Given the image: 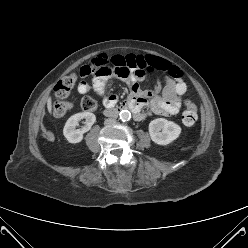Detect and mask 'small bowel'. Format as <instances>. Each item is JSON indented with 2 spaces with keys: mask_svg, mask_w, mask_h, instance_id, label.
<instances>
[{
  "mask_svg": "<svg viewBox=\"0 0 248 248\" xmlns=\"http://www.w3.org/2000/svg\"><path fill=\"white\" fill-rule=\"evenodd\" d=\"M114 56L119 57L124 64L130 63L129 69L131 71L123 78H126L130 86L128 100L134 104L137 120L145 118L146 114L142 112L144 108L147 109L148 114L161 116L175 115L179 112L182 97L187 89L179 69L164 59L148 54L130 53ZM85 71V67H82V76H86ZM148 74H167V76L160 78L154 90L144 91L140 88V83L145 80ZM110 78L111 74L108 72L98 73L92 82L82 80L78 84L77 90L80 94L94 91L107 108L113 107L118 101L117 96L105 94V86Z\"/></svg>",
  "mask_w": 248,
  "mask_h": 248,
  "instance_id": "obj_1",
  "label": "small bowel"
}]
</instances>
